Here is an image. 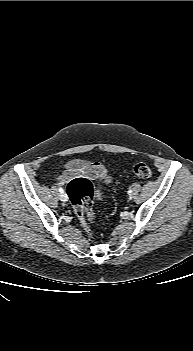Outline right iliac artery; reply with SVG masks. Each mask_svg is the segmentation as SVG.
I'll return each mask as SVG.
<instances>
[{"mask_svg": "<svg viewBox=\"0 0 193 351\" xmlns=\"http://www.w3.org/2000/svg\"><path fill=\"white\" fill-rule=\"evenodd\" d=\"M59 192H60V193H64V190L60 187V188H59Z\"/></svg>", "mask_w": 193, "mask_h": 351, "instance_id": "82829eb1", "label": "right iliac artery"}]
</instances>
